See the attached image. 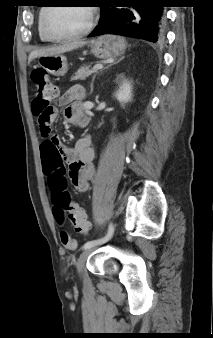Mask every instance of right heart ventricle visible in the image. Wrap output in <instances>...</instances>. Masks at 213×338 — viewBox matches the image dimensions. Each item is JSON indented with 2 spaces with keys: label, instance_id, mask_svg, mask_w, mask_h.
<instances>
[{
  "label": "right heart ventricle",
  "instance_id": "right-heart-ventricle-1",
  "mask_svg": "<svg viewBox=\"0 0 213 338\" xmlns=\"http://www.w3.org/2000/svg\"><path fill=\"white\" fill-rule=\"evenodd\" d=\"M47 7H48V5L42 6L40 8L39 13H38V32H39V36H40L42 41H48V40L45 39V37L43 36L42 31H41L42 18H43V15H44Z\"/></svg>",
  "mask_w": 213,
  "mask_h": 338
}]
</instances>
